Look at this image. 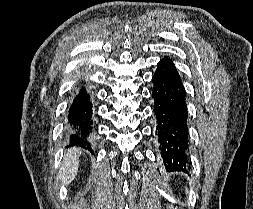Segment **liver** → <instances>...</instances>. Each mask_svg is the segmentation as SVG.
I'll return each mask as SVG.
<instances>
[{
  "label": "liver",
  "mask_w": 253,
  "mask_h": 209,
  "mask_svg": "<svg viewBox=\"0 0 253 209\" xmlns=\"http://www.w3.org/2000/svg\"><path fill=\"white\" fill-rule=\"evenodd\" d=\"M81 150L78 148H71L64 157L59 180L62 184H69L76 176L79 166V156Z\"/></svg>",
  "instance_id": "6515ba94"
}]
</instances>
